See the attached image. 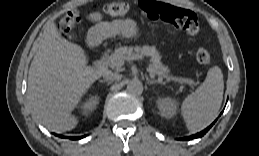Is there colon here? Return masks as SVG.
I'll list each match as a JSON object with an SVG mask.
<instances>
[{
    "label": "colon",
    "instance_id": "colon-1",
    "mask_svg": "<svg viewBox=\"0 0 259 156\" xmlns=\"http://www.w3.org/2000/svg\"><path fill=\"white\" fill-rule=\"evenodd\" d=\"M140 5L148 18L152 20H162L170 23L191 35H195L199 31L198 18L191 10L152 0H142ZM102 10L109 16L121 17L129 12V5L125 2H110L103 5ZM80 19L81 15L78 10L68 11L59 23L61 33L68 36ZM210 59V53L206 48L200 47L197 50L196 60L200 64L206 65L210 62Z\"/></svg>",
    "mask_w": 259,
    "mask_h": 156
}]
</instances>
